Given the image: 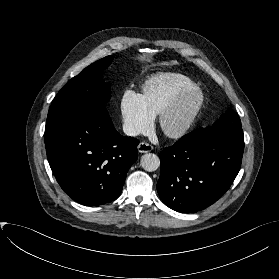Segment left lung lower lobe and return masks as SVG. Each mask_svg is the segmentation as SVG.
<instances>
[{
    "label": "left lung lower lobe",
    "mask_w": 279,
    "mask_h": 279,
    "mask_svg": "<svg viewBox=\"0 0 279 279\" xmlns=\"http://www.w3.org/2000/svg\"><path fill=\"white\" fill-rule=\"evenodd\" d=\"M244 142L223 134L191 132L160 153V199L191 213L214 204L231 186L242 162Z\"/></svg>",
    "instance_id": "left-lung-lower-lobe-1"
}]
</instances>
